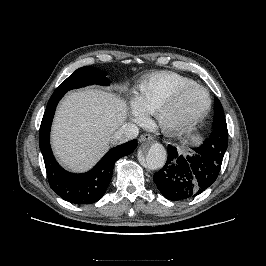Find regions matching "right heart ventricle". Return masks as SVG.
Here are the masks:
<instances>
[{
    "instance_id": "1",
    "label": "right heart ventricle",
    "mask_w": 266,
    "mask_h": 266,
    "mask_svg": "<svg viewBox=\"0 0 266 266\" xmlns=\"http://www.w3.org/2000/svg\"><path fill=\"white\" fill-rule=\"evenodd\" d=\"M195 83L173 72H156L145 77L137 87L135 106L144 114L154 115L176 89Z\"/></svg>"
}]
</instances>
